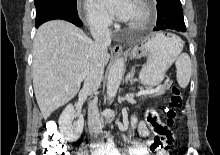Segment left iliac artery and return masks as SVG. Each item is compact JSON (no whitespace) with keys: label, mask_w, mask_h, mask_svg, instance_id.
I'll use <instances>...</instances> for the list:
<instances>
[{"label":"left iliac artery","mask_w":220,"mask_h":155,"mask_svg":"<svg viewBox=\"0 0 220 155\" xmlns=\"http://www.w3.org/2000/svg\"><path fill=\"white\" fill-rule=\"evenodd\" d=\"M110 154L111 155H121L120 152L116 148H113V150L111 151Z\"/></svg>","instance_id":"left-iliac-artery-1"}]
</instances>
